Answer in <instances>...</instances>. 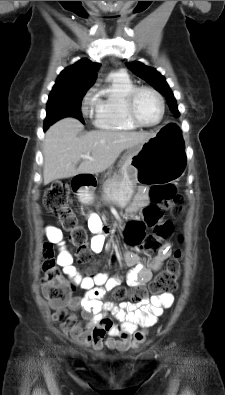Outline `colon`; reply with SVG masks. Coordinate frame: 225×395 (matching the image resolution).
Wrapping results in <instances>:
<instances>
[{
	"instance_id": "1",
	"label": "colon",
	"mask_w": 225,
	"mask_h": 395,
	"mask_svg": "<svg viewBox=\"0 0 225 395\" xmlns=\"http://www.w3.org/2000/svg\"><path fill=\"white\" fill-rule=\"evenodd\" d=\"M151 204L143 210L142 221H131L124 232V240L130 246H139L141 251L150 255L156 253L160 243L168 239L173 232L171 222H160L161 209L168 210L174 218H181L186 209L187 200L177 193L172 184L155 185L149 190ZM44 204L47 211L57 218L63 230L70 234V241L77 249V257L81 263L91 259L87 246V233L78 224L77 217L71 207L70 190L65 182L52 184L45 192ZM145 226L153 227L152 234L145 235ZM42 288L50 305L57 310H63L70 303L73 290L72 284L62 275L57 266V259L51 243H45L42 252ZM183 254L176 250L168 261L166 268L151 282L150 291L156 294L171 293L177 288L180 276V262ZM109 262H116V255H109ZM114 295L123 299L130 297L140 302L147 295L145 288H136L128 292L124 287L116 288Z\"/></svg>"
}]
</instances>
